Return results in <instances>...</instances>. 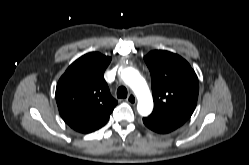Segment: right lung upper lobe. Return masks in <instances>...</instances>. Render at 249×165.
Wrapping results in <instances>:
<instances>
[{
  "label": "right lung upper lobe",
  "instance_id": "1",
  "mask_svg": "<svg viewBox=\"0 0 249 165\" xmlns=\"http://www.w3.org/2000/svg\"><path fill=\"white\" fill-rule=\"evenodd\" d=\"M110 62L108 56L88 53L73 62L58 81L55 96L59 113L78 132L101 128L117 104L103 76Z\"/></svg>",
  "mask_w": 249,
  "mask_h": 165
}]
</instances>
